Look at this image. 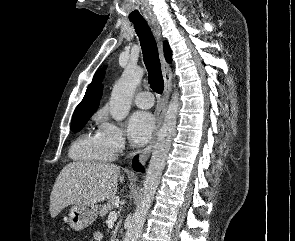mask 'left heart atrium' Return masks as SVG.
Masks as SVG:
<instances>
[{"mask_svg":"<svg viewBox=\"0 0 295 241\" xmlns=\"http://www.w3.org/2000/svg\"><path fill=\"white\" fill-rule=\"evenodd\" d=\"M155 129L154 116L149 112L137 111L129 119L128 134L136 145L146 144Z\"/></svg>","mask_w":295,"mask_h":241,"instance_id":"39dd6f15","label":"left heart atrium"}]
</instances>
